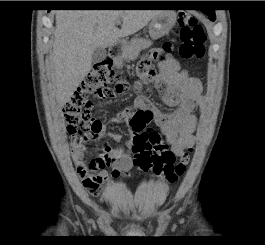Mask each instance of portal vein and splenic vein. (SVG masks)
Returning <instances> with one entry per match:
<instances>
[{"instance_id": "obj_1", "label": "portal vein and splenic vein", "mask_w": 265, "mask_h": 245, "mask_svg": "<svg viewBox=\"0 0 265 245\" xmlns=\"http://www.w3.org/2000/svg\"><path fill=\"white\" fill-rule=\"evenodd\" d=\"M116 24H117V25H120V24H121V21H120V20H118V21L116 22Z\"/></svg>"}]
</instances>
